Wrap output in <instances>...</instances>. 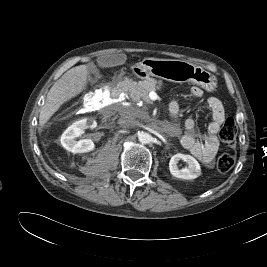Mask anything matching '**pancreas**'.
<instances>
[{"label": "pancreas", "instance_id": "1", "mask_svg": "<svg viewBox=\"0 0 267 267\" xmlns=\"http://www.w3.org/2000/svg\"><path fill=\"white\" fill-rule=\"evenodd\" d=\"M161 84H162L161 81H157L154 78H148L144 81L134 83L129 91L130 98L134 102L143 100L144 102L149 103L150 102L149 92L156 91L157 89L160 88Z\"/></svg>", "mask_w": 267, "mask_h": 267}]
</instances>
